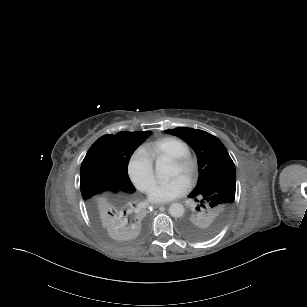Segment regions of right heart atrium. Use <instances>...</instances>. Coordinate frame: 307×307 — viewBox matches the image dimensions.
I'll return each instance as SVG.
<instances>
[{
	"instance_id": "d8ad5b80",
	"label": "right heart atrium",
	"mask_w": 307,
	"mask_h": 307,
	"mask_svg": "<svg viewBox=\"0 0 307 307\" xmlns=\"http://www.w3.org/2000/svg\"><path fill=\"white\" fill-rule=\"evenodd\" d=\"M154 156L148 154L143 146L135 148L129 155L127 173L133 184L144 188L153 178Z\"/></svg>"
}]
</instances>
